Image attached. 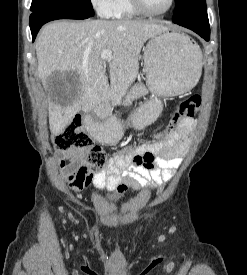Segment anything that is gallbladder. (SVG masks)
I'll use <instances>...</instances> for the list:
<instances>
[{"label": "gallbladder", "instance_id": "obj_1", "mask_svg": "<svg viewBox=\"0 0 247 275\" xmlns=\"http://www.w3.org/2000/svg\"><path fill=\"white\" fill-rule=\"evenodd\" d=\"M80 83L75 73L62 74L55 72L46 81V90L51 97L61 103H65L70 95L78 91Z\"/></svg>", "mask_w": 247, "mask_h": 275}]
</instances>
